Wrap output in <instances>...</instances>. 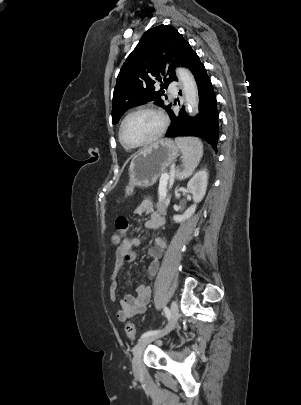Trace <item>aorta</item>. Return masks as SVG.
Masks as SVG:
<instances>
[{
  "instance_id": "aorta-1",
  "label": "aorta",
  "mask_w": 301,
  "mask_h": 405,
  "mask_svg": "<svg viewBox=\"0 0 301 405\" xmlns=\"http://www.w3.org/2000/svg\"><path fill=\"white\" fill-rule=\"evenodd\" d=\"M176 74L183 84V91L187 109L189 114L196 115L198 113V88L196 81L191 72L186 68H178Z\"/></svg>"
}]
</instances>
